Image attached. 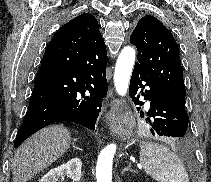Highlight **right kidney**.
<instances>
[{"label": "right kidney", "instance_id": "right-kidney-1", "mask_svg": "<svg viewBox=\"0 0 211 182\" xmlns=\"http://www.w3.org/2000/svg\"><path fill=\"white\" fill-rule=\"evenodd\" d=\"M82 162L78 158L71 159L66 164L51 169L40 180V182H58L59 177L68 176L75 182H79L82 177Z\"/></svg>", "mask_w": 211, "mask_h": 182}]
</instances>
